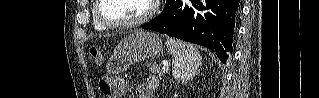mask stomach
Listing matches in <instances>:
<instances>
[{"label":"stomach","instance_id":"1","mask_svg":"<svg viewBox=\"0 0 319 98\" xmlns=\"http://www.w3.org/2000/svg\"><path fill=\"white\" fill-rule=\"evenodd\" d=\"M163 54V43L154 32H135L123 38L111 57L109 64L110 74L124 72L134 63L147 58L160 57ZM109 95L112 96L109 89Z\"/></svg>","mask_w":319,"mask_h":98}]
</instances>
